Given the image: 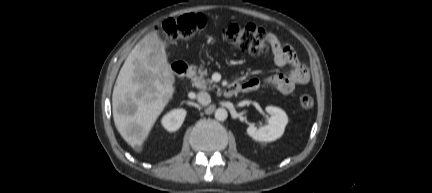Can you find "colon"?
<instances>
[{
  "label": "colon",
  "mask_w": 432,
  "mask_h": 193,
  "mask_svg": "<svg viewBox=\"0 0 432 193\" xmlns=\"http://www.w3.org/2000/svg\"><path fill=\"white\" fill-rule=\"evenodd\" d=\"M206 25V19L201 14H187L165 20L159 27L166 39L170 41L190 40ZM222 39L234 49L251 55H260L269 51L271 38L264 29L253 24H230L222 27ZM300 106L310 109L314 105V98L310 92H304L299 97Z\"/></svg>",
  "instance_id": "obj_1"
}]
</instances>
